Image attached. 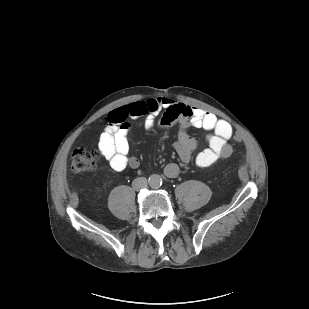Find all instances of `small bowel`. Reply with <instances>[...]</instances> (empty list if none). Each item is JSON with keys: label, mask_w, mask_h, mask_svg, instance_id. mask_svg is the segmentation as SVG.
<instances>
[{"label": "small bowel", "mask_w": 309, "mask_h": 309, "mask_svg": "<svg viewBox=\"0 0 309 309\" xmlns=\"http://www.w3.org/2000/svg\"><path fill=\"white\" fill-rule=\"evenodd\" d=\"M161 111H163L161 125L175 121L180 124L175 150L183 164L190 163L192 153L197 146L196 139L187 132L189 126L210 132L207 137L208 147L199 152L194 159L198 167H209L217 160L226 159L232 154V147L228 141L233 135V128L227 121L201 108L177 103L167 97H156L117 107L109 114L107 125L100 135L98 147L113 170L122 171L127 167L139 166V160L129 154L127 121L143 116L145 127L151 129L155 125L156 116ZM179 172V166L173 163L166 165L164 169L165 175L169 178L177 177Z\"/></svg>", "instance_id": "c3829d8e"}]
</instances>
